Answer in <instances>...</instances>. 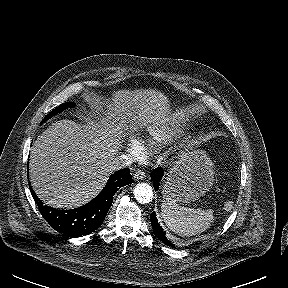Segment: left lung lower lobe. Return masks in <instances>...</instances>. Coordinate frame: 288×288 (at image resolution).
<instances>
[{"mask_svg":"<svg viewBox=\"0 0 288 288\" xmlns=\"http://www.w3.org/2000/svg\"><path fill=\"white\" fill-rule=\"evenodd\" d=\"M163 168L158 167L155 168L151 173V179L153 181L154 189L157 190L159 187V182L163 176ZM151 225L155 235L160 239L164 244L168 246H172V243L167 239L166 232L163 231L162 227L159 225L155 213L152 212L150 215Z\"/></svg>","mask_w":288,"mask_h":288,"instance_id":"0a47b994","label":"left lung lower lobe"}]
</instances>
